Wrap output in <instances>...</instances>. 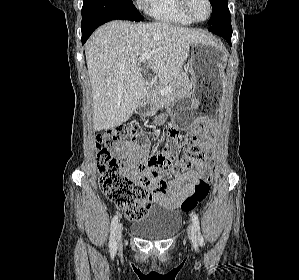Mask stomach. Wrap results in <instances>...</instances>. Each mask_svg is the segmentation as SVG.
<instances>
[{"mask_svg": "<svg viewBox=\"0 0 299 280\" xmlns=\"http://www.w3.org/2000/svg\"><path fill=\"white\" fill-rule=\"evenodd\" d=\"M228 54L223 45L213 41L191 44V58L188 63L190 95L178 99L176 121L181 128H189L201 116H216L220 113L225 97L224 69ZM174 104H168L172 107ZM154 109L142 106L139 114L149 116ZM164 120L159 117L157 124Z\"/></svg>", "mask_w": 299, "mask_h": 280, "instance_id": "0dacf381", "label": "stomach"}]
</instances>
